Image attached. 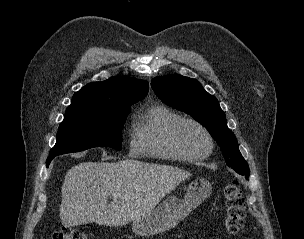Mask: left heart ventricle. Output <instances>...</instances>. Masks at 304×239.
<instances>
[{
	"label": "left heart ventricle",
	"instance_id": "left-heart-ventricle-1",
	"mask_svg": "<svg viewBox=\"0 0 304 239\" xmlns=\"http://www.w3.org/2000/svg\"><path fill=\"white\" fill-rule=\"evenodd\" d=\"M180 138L183 145L193 153H202L208 149L209 143L206 135L194 125L184 126Z\"/></svg>",
	"mask_w": 304,
	"mask_h": 239
}]
</instances>
